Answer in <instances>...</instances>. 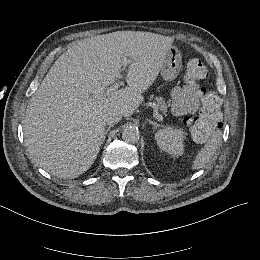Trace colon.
<instances>
[{
  "label": "colon",
  "instance_id": "obj_1",
  "mask_svg": "<svg viewBox=\"0 0 260 260\" xmlns=\"http://www.w3.org/2000/svg\"><path fill=\"white\" fill-rule=\"evenodd\" d=\"M207 77H208L207 69L199 59L192 58L188 61L186 72H185V79L188 83L195 84L200 81H205ZM200 121H201L200 119H196V118L187 119L188 127L192 134L197 131L196 124L199 123Z\"/></svg>",
  "mask_w": 260,
  "mask_h": 260
}]
</instances>
